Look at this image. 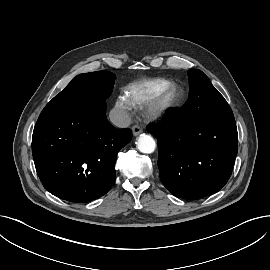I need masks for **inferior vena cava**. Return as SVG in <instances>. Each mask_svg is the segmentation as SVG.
I'll list each match as a JSON object with an SVG mask.
<instances>
[{
  "instance_id": "1",
  "label": "inferior vena cava",
  "mask_w": 270,
  "mask_h": 270,
  "mask_svg": "<svg viewBox=\"0 0 270 270\" xmlns=\"http://www.w3.org/2000/svg\"><path fill=\"white\" fill-rule=\"evenodd\" d=\"M110 121L119 128H126L131 124L128 113L119 108H113L109 113Z\"/></svg>"
}]
</instances>
